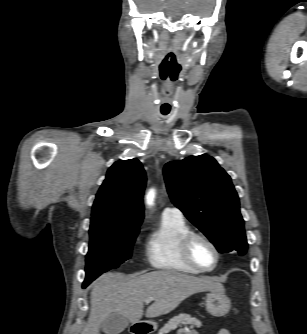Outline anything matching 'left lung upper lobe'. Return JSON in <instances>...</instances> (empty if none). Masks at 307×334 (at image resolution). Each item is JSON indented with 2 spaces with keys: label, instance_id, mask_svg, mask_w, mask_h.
I'll return each instance as SVG.
<instances>
[{
  "label": "left lung upper lobe",
  "instance_id": "5c2ea615",
  "mask_svg": "<svg viewBox=\"0 0 307 334\" xmlns=\"http://www.w3.org/2000/svg\"><path fill=\"white\" fill-rule=\"evenodd\" d=\"M173 204L199 228L220 253L247 250L239 198L230 176L207 155L171 161L164 167Z\"/></svg>",
  "mask_w": 307,
  "mask_h": 334
}]
</instances>
